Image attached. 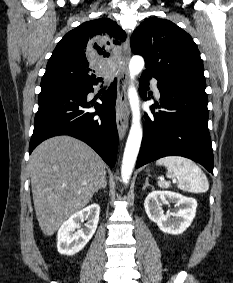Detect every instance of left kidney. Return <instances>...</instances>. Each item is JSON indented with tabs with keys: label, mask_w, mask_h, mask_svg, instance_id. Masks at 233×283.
Here are the masks:
<instances>
[{
	"label": "left kidney",
	"mask_w": 233,
	"mask_h": 283,
	"mask_svg": "<svg viewBox=\"0 0 233 283\" xmlns=\"http://www.w3.org/2000/svg\"><path fill=\"white\" fill-rule=\"evenodd\" d=\"M169 203L174 204L176 209L164 215L161 206ZM144 208L149 219L155 222L162 232L178 235L191 225L196 215L197 202L175 192L153 191L146 197Z\"/></svg>",
	"instance_id": "left-kidney-1"
}]
</instances>
